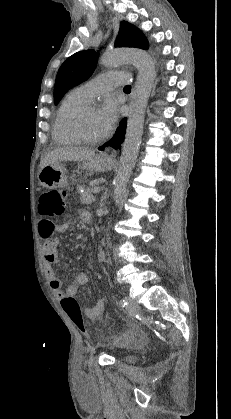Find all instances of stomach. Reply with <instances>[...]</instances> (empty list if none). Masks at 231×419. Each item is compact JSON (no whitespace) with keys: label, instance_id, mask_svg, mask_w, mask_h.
<instances>
[{"label":"stomach","instance_id":"stomach-1","mask_svg":"<svg viewBox=\"0 0 231 419\" xmlns=\"http://www.w3.org/2000/svg\"><path fill=\"white\" fill-rule=\"evenodd\" d=\"M113 160L106 154L100 153L82 163L84 169L90 172L108 171L113 166ZM39 184L47 189L63 188L69 185L65 169L60 162L47 164L38 172Z\"/></svg>","mask_w":231,"mask_h":419}]
</instances>
